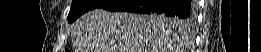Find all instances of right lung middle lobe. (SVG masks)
I'll return each instance as SVG.
<instances>
[{
    "mask_svg": "<svg viewBox=\"0 0 261 52\" xmlns=\"http://www.w3.org/2000/svg\"><path fill=\"white\" fill-rule=\"evenodd\" d=\"M108 0H73L72 6L68 15V22L76 20L83 13L99 8L104 5ZM193 17L189 19H181L178 17L166 16L160 18V20L173 24L174 26H187L192 21Z\"/></svg>",
    "mask_w": 261,
    "mask_h": 52,
    "instance_id": "right-lung-middle-lobe-1",
    "label": "right lung middle lobe"
}]
</instances>
